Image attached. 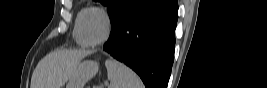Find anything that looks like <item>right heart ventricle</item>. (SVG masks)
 Segmentation results:
<instances>
[{
	"label": "right heart ventricle",
	"mask_w": 267,
	"mask_h": 88,
	"mask_svg": "<svg viewBox=\"0 0 267 88\" xmlns=\"http://www.w3.org/2000/svg\"><path fill=\"white\" fill-rule=\"evenodd\" d=\"M91 8L92 7L79 8L77 11L76 17H75L72 34H73V37H74L76 43L79 44L80 46H86V44L83 42L81 34H80L81 19H82L83 14Z\"/></svg>",
	"instance_id": "e07e8e85"
}]
</instances>
